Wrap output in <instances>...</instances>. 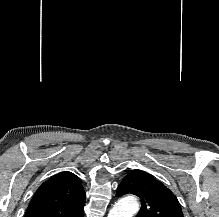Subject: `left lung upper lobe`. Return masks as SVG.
Listing matches in <instances>:
<instances>
[{
	"label": "left lung upper lobe",
	"instance_id": "obj_1",
	"mask_svg": "<svg viewBox=\"0 0 219 217\" xmlns=\"http://www.w3.org/2000/svg\"><path fill=\"white\" fill-rule=\"evenodd\" d=\"M134 194L140 198L141 209L136 217H183L176 196L160 181L135 169L124 177L116 196Z\"/></svg>",
	"mask_w": 219,
	"mask_h": 217
}]
</instances>
